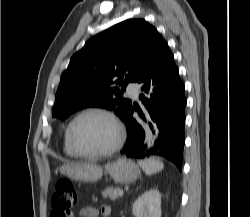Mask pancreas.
<instances>
[{"label": "pancreas", "instance_id": "pancreas-1", "mask_svg": "<svg viewBox=\"0 0 250 217\" xmlns=\"http://www.w3.org/2000/svg\"><path fill=\"white\" fill-rule=\"evenodd\" d=\"M119 191H121L118 187H108L102 192V196L105 199L116 200L119 196Z\"/></svg>", "mask_w": 250, "mask_h": 217}]
</instances>
